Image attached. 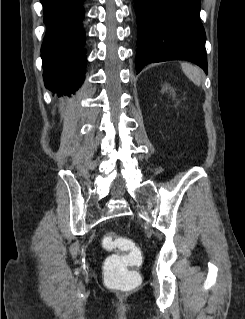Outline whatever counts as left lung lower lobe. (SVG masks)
I'll list each match as a JSON object with an SVG mask.
<instances>
[{"label": "left lung lower lobe", "instance_id": "0a47b994", "mask_svg": "<svg viewBox=\"0 0 245 319\" xmlns=\"http://www.w3.org/2000/svg\"><path fill=\"white\" fill-rule=\"evenodd\" d=\"M134 1L137 72L149 63L181 59L197 64L207 73L200 0Z\"/></svg>", "mask_w": 245, "mask_h": 319}]
</instances>
